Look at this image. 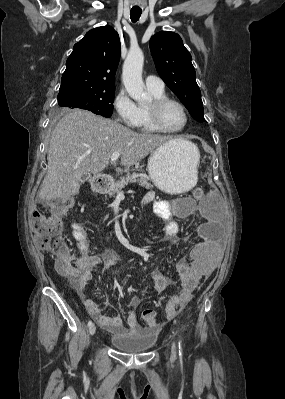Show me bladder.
Instances as JSON below:
<instances>
[{
    "mask_svg": "<svg viewBox=\"0 0 285 399\" xmlns=\"http://www.w3.org/2000/svg\"><path fill=\"white\" fill-rule=\"evenodd\" d=\"M155 343L153 329H136L132 334L112 336L110 344L122 353L139 354L149 351Z\"/></svg>",
    "mask_w": 285,
    "mask_h": 399,
    "instance_id": "31cf9c89",
    "label": "bladder"
}]
</instances>
